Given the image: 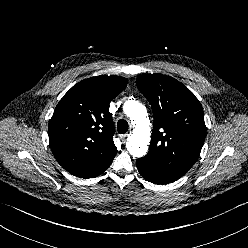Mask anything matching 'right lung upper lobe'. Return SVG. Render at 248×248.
Here are the masks:
<instances>
[{
  "label": "right lung upper lobe",
  "instance_id": "cb5924a9",
  "mask_svg": "<svg viewBox=\"0 0 248 248\" xmlns=\"http://www.w3.org/2000/svg\"><path fill=\"white\" fill-rule=\"evenodd\" d=\"M128 80L100 75L74 85L49 122V142L58 163L80 178L102 174L118 152L109 104Z\"/></svg>",
  "mask_w": 248,
  "mask_h": 248
}]
</instances>
